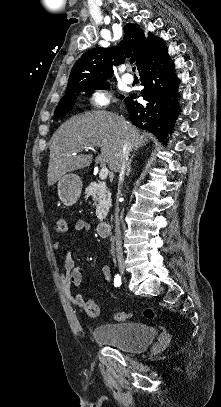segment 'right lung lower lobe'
Returning <instances> with one entry per match:
<instances>
[{"label":"right lung lower lobe","instance_id":"1","mask_svg":"<svg viewBox=\"0 0 221 407\" xmlns=\"http://www.w3.org/2000/svg\"><path fill=\"white\" fill-rule=\"evenodd\" d=\"M144 89L141 95L147 103L140 104L133 97L125 99L131 122L159 136L161 140L171 135L180 113L177 92L180 80L175 75L174 63L167 48L162 50L139 70Z\"/></svg>","mask_w":221,"mask_h":407}]
</instances>
